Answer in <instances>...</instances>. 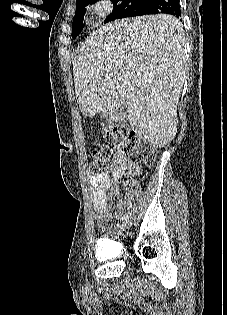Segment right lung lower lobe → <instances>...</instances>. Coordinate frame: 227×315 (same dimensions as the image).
Instances as JSON below:
<instances>
[{
	"instance_id": "98d812e1",
	"label": "right lung lower lobe",
	"mask_w": 227,
	"mask_h": 315,
	"mask_svg": "<svg viewBox=\"0 0 227 315\" xmlns=\"http://www.w3.org/2000/svg\"><path fill=\"white\" fill-rule=\"evenodd\" d=\"M161 13L181 18L179 0H146L139 8H126L121 18Z\"/></svg>"
}]
</instances>
